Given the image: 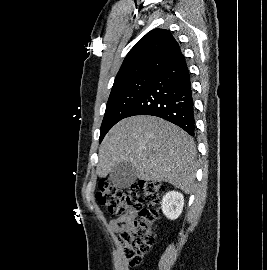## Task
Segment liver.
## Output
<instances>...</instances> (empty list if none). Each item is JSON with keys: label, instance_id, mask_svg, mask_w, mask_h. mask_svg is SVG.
Segmentation results:
<instances>
[{"label": "liver", "instance_id": "liver-1", "mask_svg": "<svg viewBox=\"0 0 267 270\" xmlns=\"http://www.w3.org/2000/svg\"><path fill=\"white\" fill-rule=\"evenodd\" d=\"M196 148L178 126L161 118L139 115L118 122L105 136L98 152L99 177L118 163L128 162L139 179L168 182L189 194L195 179Z\"/></svg>", "mask_w": 267, "mask_h": 270}]
</instances>
